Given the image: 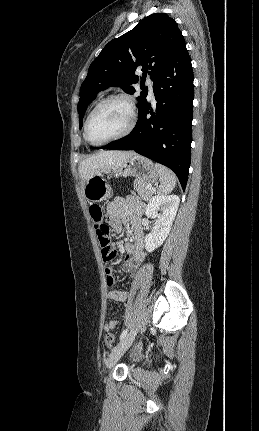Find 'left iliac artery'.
<instances>
[{"label":"left iliac artery","instance_id":"obj_1","mask_svg":"<svg viewBox=\"0 0 259 431\" xmlns=\"http://www.w3.org/2000/svg\"><path fill=\"white\" fill-rule=\"evenodd\" d=\"M128 330L125 329L122 331L121 335H120V340H122L126 335H127Z\"/></svg>","mask_w":259,"mask_h":431}]
</instances>
